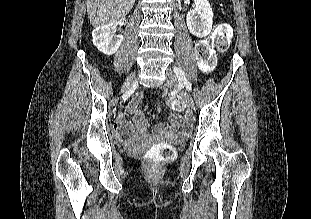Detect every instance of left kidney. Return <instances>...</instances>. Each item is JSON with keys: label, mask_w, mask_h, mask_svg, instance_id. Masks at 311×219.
<instances>
[{"label": "left kidney", "mask_w": 311, "mask_h": 219, "mask_svg": "<svg viewBox=\"0 0 311 219\" xmlns=\"http://www.w3.org/2000/svg\"><path fill=\"white\" fill-rule=\"evenodd\" d=\"M194 3L196 7L187 13V26L192 35L203 38L211 33L213 11L208 0H194Z\"/></svg>", "instance_id": "5707ae66"}]
</instances>
